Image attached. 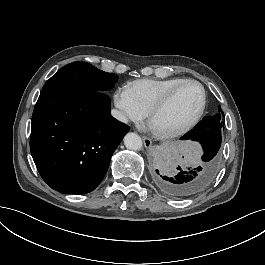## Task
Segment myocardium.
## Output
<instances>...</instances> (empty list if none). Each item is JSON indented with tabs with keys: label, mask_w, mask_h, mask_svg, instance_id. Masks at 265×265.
I'll return each instance as SVG.
<instances>
[{
	"label": "myocardium",
	"mask_w": 265,
	"mask_h": 265,
	"mask_svg": "<svg viewBox=\"0 0 265 265\" xmlns=\"http://www.w3.org/2000/svg\"><path fill=\"white\" fill-rule=\"evenodd\" d=\"M188 83L197 84L202 91V102H201V105H200L199 109L197 110V112L194 114V116L188 122H186L184 125L180 126L179 128H176V129H173L170 131H158V130H156L153 126V123H154V120H155L157 114L159 112H161L165 107H167L171 103V101L174 99L176 94L179 92V90L182 88V86H184L185 84H188ZM207 102H208V93H207L205 85L201 81H199L197 79H193V78L183 79L178 84H176L150 110L149 117H148V126L152 130V132L157 137H159L161 139H172V138L182 136V135L186 134L187 132H189L198 123V121L201 119V117L203 116V114L206 110Z\"/></svg>",
	"instance_id": "1"
}]
</instances>
